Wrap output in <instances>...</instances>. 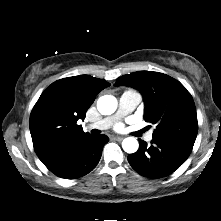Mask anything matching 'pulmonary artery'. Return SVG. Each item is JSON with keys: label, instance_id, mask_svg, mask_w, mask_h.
I'll return each mask as SVG.
<instances>
[{"label": "pulmonary artery", "instance_id": "e3ab8cb5", "mask_svg": "<svg viewBox=\"0 0 221 221\" xmlns=\"http://www.w3.org/2000/svg\"><path fill=\"white\" fill-rule=\"evenodd\" d=\"M140 101L141 95L138 92L134 90L124 91L119 98V104L116 113L112 116L106 117L93 124H90L88 128L98 130H106L110 128L119 119L131 113L137 107ZM152 138V133H148L145 137L146 141L148 142H150Z\"/></svg>", "mask_w": 221, "mask_h": 221}]
</instances>
